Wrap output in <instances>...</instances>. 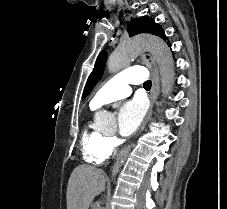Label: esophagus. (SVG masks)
<instances>
[{"label": "esophagus", "mask_w": 227, "mask_h": 209, "mask_svg": "<svg viewBox=\"0 0 227 209\" xmlns=\"http://www.w3.org/2000/svg\"><path fill=\"white\" fill-rule=\"evenodd\" d=\"M141 59L151 73L152 88L150 93V108L152 109L153 105L157 101V97L159 94V72L157 65L151 55H149L148 53H143L141 55Z\"/></svg>", "instance_id": "obj_1"}]
</instances>
